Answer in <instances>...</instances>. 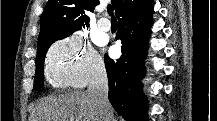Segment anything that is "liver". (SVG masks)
Masks as SVG:
<instances>
[{
    "instance_id": "1",
    "label": "liver",
    "mask_w": 217,
    "mask_h": 121,
    "mask_svg": "<svg viewBox=\"0 0 217 121\" xmlns=\"http://www.w3.org/2000/svg\"><path fill=\"white\" fill-rule=\"evenodd\" d=\"M30 121H102L93 99L86 92L46 98L32 112Z\"/></svg>"
}]
</instances>
